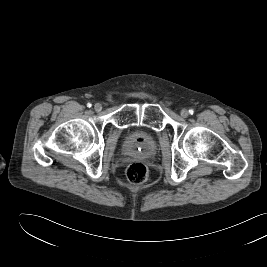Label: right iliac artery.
Segmentation results:
<instances>
[{
  "label": "right iliac artery",
  "mask_w": 267,
  "mask_h": 267,
  "mask_svg": "<svg viewBox=\"0 0 267 267\" xmlns=\"http://www.w3.org/2000/svg\"><path fill=\"white\" fill-rule=\"evenodd\" d=\"M91 106H92L91 103L88 102V103H87V107L90 108Z\"/></svg>",
  "instance_id": "obj_1"
}]
</instances>
